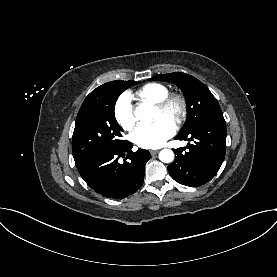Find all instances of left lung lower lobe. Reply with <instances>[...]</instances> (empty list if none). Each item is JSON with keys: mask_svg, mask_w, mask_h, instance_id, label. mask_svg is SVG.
I'll return each mask as SVG.
<instances>
[{"mask_svg": "<svg viewBox=\"0 0 277 277\" xmlns=\"http://www.w3.org/2000/svg\"><path fill=\"white\" fill-rule=\"evenodd\" d=\"M175 139L193 141L175 150L168 166L171 177L180 184L198 187L210 181L221 167L226 153V122L222 112L200 121L191 131Z\"/></svg>", "mask_w": 277, "mask_h": 277, "instance_id": "1", "label": "left lung lower lobe"}]
</instances>
